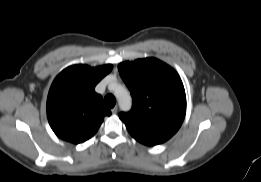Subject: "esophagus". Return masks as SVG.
Segmentation results:
<instances>
[{
  "label": "esophagus",
  "instance_id": "34e87169",
  "mask_svg": "<svg viewBox=\"0 0 261 182\" xmlns=\"http://www.w3.org/2000/svg\"><path fill=\"white\" fill-rule=\"evenodd\" d=\"M117 111H118V107L117 106H115L114 108L111 109L112 114H116Z\"/></svg>",
  "mask_w": 261,
  "mask_h": 182
}]
</instances>
